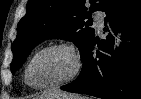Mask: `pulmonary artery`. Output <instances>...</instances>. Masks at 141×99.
I'll use <instances>...</instances> for the list:
<instances>
[{"label":"pulmonary artery","mask_w":141,"mask_h":99,"mask_svg":"<svg viewBox=\"0 0 141 99\" xmlns=\"http://www.w3.org/2000/svg\"><path fill=\"white\" fill-rule=\"evenodd\" d=\"M94 20L96 22L97 30L101 32L103 30V19L104 16L101 12L94 13Z\"/></svg>","instance_id":"1"}]
</instances>
